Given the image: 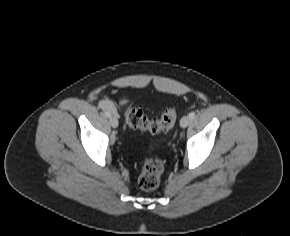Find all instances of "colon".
<instances>
[{"mask_svg": "<svg viewBox=\"0 0 290 236\" xmlns=\"http://www.w3.org/2000/svg\"><path fill=\"white\" fill-rule=\"evenodd\" d=\"M121 102L124 103L125 100L122 99ZM125 119L132 128L159 133L172 128L176 120V112L169 107L159 117H149L141 109L128 106L125 109ZM162 174L163 163L160 159L146 160L139 176V186L144 191L155 190L161 183Z\"/></svg>", "mask_w": 290, "mask_h": 236, "instance_id": "5ec220e1", "label": "colon"}]
</instances>
